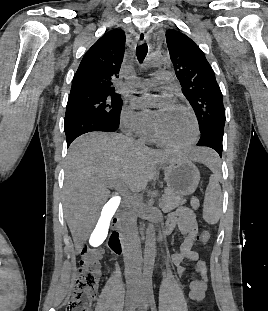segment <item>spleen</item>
Returning <instances> with one entry per match:
<instances>
[{"label":"spleen","mask_w":268,"mask_h":311,"mask_svg":"<svg viewBox=\"0 0 268 311\" xmlns=\"http://www.w3.org/2000/svg\"><path fill=\"white\" fill-rule=\"evenodd\" d=\"M200 153L203 159L213 171L209 178V183L205 191V198L203 203V219L208 224H216L222 215V201L223 195L219 180L221 177L220 169L217 166V158L213 148H205L200 146Z\"/></svg>","instance_id":"1"}]
</instances>
